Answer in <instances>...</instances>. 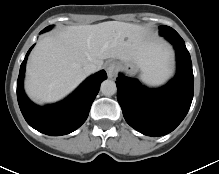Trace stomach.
<instances>
[{
	"instance_id": "1",
	"label": "stomach",
	"mask_w": 219,
	"mask_h": 174,
	"mask_svg": "<svg viewBox=\"0 0 219 174\" xmlns=\"http://www.w3.org/2000/svg\"><path fill=\"white\" fill-rule=\"evenodd\" d=\"M120 68L126 70V71H129V72H133L135 70V64L133 61H129V62H123L121 65H120Z\"/></svg>"
}]
</instances>
